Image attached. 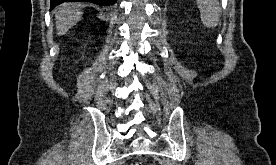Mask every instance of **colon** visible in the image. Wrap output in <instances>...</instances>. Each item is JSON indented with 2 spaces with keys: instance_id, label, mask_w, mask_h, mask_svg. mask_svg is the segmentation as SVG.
<instances>
[{
  "instance_id": "colon-1",
  "label": "colon",
  "mask_w": 276,
  "mask_h": 165,
  "mask_svg": "<svg viewBox=\"0 0 276 165\" xmlns=\"http://www.w3.org/2000/svg\"><path fill=\"white\" fill-rule=\"evenodd\" d=\"M131 165H143L142 163H139V162H135V163H133V164H131Z\"/></svg>"
}]
</instances>
